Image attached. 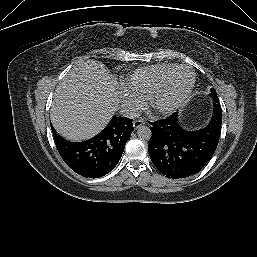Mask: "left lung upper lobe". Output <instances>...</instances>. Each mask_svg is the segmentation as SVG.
Listing matches in <instances>:
<instances>
[{"label":"left lung upper lobe","mask_w":257,"mask_h":257,"mask_svg":"<svg viewBox=\"0 0 257 257\" xmlns=\"http://www.w3.org/2000/svg\"><path fill=\"white\" fill-rule=\"evenodd\" d=\"M210 96H211V98L213 99V101H215V102H219V99H218V96H217V93H216V91H215V89H211L210 90Z\"/></svg>","instance_id":"left-lung-upper-lobe-1"}]
</instances>
